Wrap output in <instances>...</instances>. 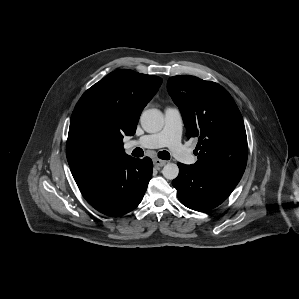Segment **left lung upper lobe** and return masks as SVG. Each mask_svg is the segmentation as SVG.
Returning a JSON list of instances; mask_svg holds the SVG:
<instances>
[{"mask_svg":"<svg viewBox=\"0 0 299 299\" xmlns=\"http://www.w3.org/2000/svg\"><path fill=\"white\" fill-rule=\"evenodd\" d=\"M167 88L179 107L188 138H198L192 167L231 182L240 181L248 145L242 115L231 95L219 84L193 76H174Z\"/></svg>","mask_w":299,"mask_h":299,"instance_id":"1","label":"left lung upper lobe"}]
</instances>
